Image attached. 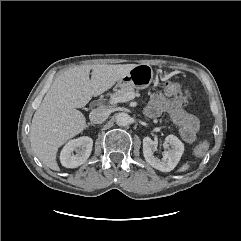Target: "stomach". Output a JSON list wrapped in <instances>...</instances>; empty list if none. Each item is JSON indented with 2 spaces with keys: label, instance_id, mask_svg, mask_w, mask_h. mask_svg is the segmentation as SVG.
<instances>
[{
  "label": "stomach",
  "instance_id": "1",
  "mask_svg": "<svg viewBox=\"0 0 241 241\" xmlns=\"http://www.w3.org/2000/svg\"><path fill=\"white\" fill-rule=\"evenodd\" d=\"M153 78L154 73L150 65L138 64L117 82V86H132L136 89H145L152 83Z\"/></svg>",
  "mask_w": 241,
  "mask_h": 241
}]
</instances>
